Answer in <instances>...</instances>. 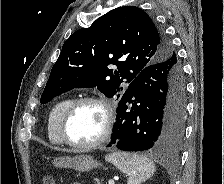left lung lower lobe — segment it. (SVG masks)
I'll use <instances>...</instances> for the list:
<instances>
[{"mask_svg":"<svg viewBox=\"0 0 224 184\" xmlns=\"http://www.w3.org/2000/svg\"><path fill=\"white\" fill-rule=\"evenodd\" d=\"M185 115L184 74L173 56L131 81L118 104L111 144L124 151L171 153L181 144Z\"/></svg>","mask_w":224,"mask_h":184,"instance_id":"left-lung-lower-lobe-1","label":"left lung lower lobe"}]
</instances>
